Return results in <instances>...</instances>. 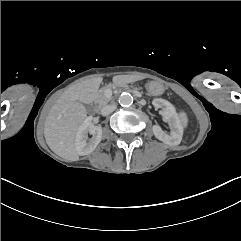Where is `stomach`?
I'll use <instances>...</instances> for the list:
<instances>
[{
    "label": "stomach",
    "mask_w": 241,
    "mask_h": 241,
    "mask_svg": "<svg viewBox=\"0 0 241 241\" xmlns=\"http://www.w3.org/2000/svg\"><path fill=\"white\" fill-rule=\"evenodd\" d=\"M146 89L149 92V94L154 96H159L164 93L165 87L164 85L159 81H150L146 84Z\"/></svg>",
    "instance_id": "1"
}]
</instances>
